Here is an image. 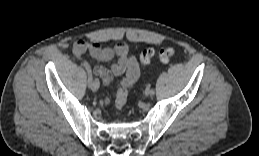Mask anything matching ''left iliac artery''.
Here are the masks:
<instances>
[{
  "mask_svg": "<svg viewBox=\"0 0 259 156\" xmlns=\"http://www.w3.org/2000/svg\"><path fill=\"white\" fill-rule=\"evenodd\" d=\"M156 94V91L154 89H151V96H154Z\"/></svg>",
  "mask_w": 259,
  "mask_h": 156,
  "instance_id": "44dca946",
  "label": "left iliac artery"
}]
</instances>
